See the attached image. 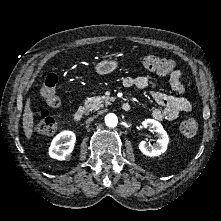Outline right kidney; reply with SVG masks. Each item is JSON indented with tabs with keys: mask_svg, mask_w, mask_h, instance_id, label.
Returning <instances> with one entry per match:
<instances>
[{
	"mask_svg": "<svg viewBox=\"0 0 221 221\" xmlns=\"http://www.w3.org/2000/svg\"><path fill=\"white\" fill-rule=\"evenodd\" d=\"M76 142L75 133L65 130L57 134L49 147V156L57 160H67Z\"/></svg>",
	"mask_w": 221,
	"mask_h": 221,
	"instance_id": "ca27d5eb",
	"label": "right kidney"
}]
</instances>
